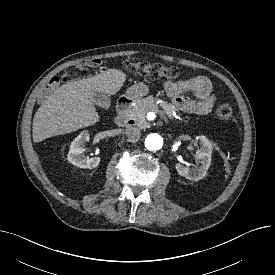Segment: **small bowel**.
<instances>
[{
	"label": "small bowel",
	"instance_id": "c3829d8e",
	"mask_svg": "<svg viewBox=\"0 0 275 275\" xmlns=\"http://www.w3.org/2000/svg\"><path fill=\"white\" fill-rule=\"evenodd\" d=\"M164 90L175 107L179 110L197 115L208 114L214 105L215 96L213 94L210 80L204 76L164 83ZM191 92L195 99H187L184 93Z\"/></svg>",
	"mask_w": 275,
	"mask_h": 275
}]
</instances>
